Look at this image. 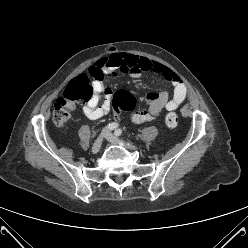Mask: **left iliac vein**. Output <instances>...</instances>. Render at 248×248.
I'll use <instances>...</instances> for the list:
<instances>
[{"instance_id": "left-iliac-vein-1", "label": "left iliac vein", "mask_w": 248, "mask_h": 248, "mask_svg": "<svg viewBox=\"0 0 248 248\" xmlns=\"http://www.w3.org/2000/svg\"><path fill=\"white\" fill-rule=\"evenodd\" d=\"M105 138L112 144L121 145V146H124L125 148H128V149H136V146L125 143L124 141L113 136V134L111 132H107L105 134Z\"/></svg>"}]
</instances>
